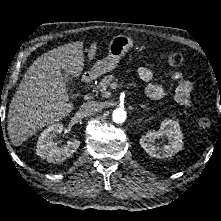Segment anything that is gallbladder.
Listing matches in <instances>:
<instances>
[{"label":"gallbladder","mask_w":221,"mask_h":221,"mask_svg":"<svg viewBox=\"0 0 221 221\" xmlns=\"http://www.w3.org/2000/svg\"><path fill=\"white\" fill-rule=\"evenodd\" d=\"M62 77H63V80L66 82V83H70L71 82V77L69 76V74H67L66 72L62 73Z\"/></svg>","instance_id":"1"}]
</instances>
